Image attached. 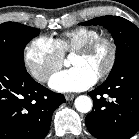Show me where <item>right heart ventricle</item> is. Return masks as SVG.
<instances>
[{
    "mask_svg": "<svg viewBox=\"0 0 139 139\" xmlns=\"http://www.w3.org/2000/svg\"><path fill=\"white\" fill-rule=\"evenodd\" d=\"M101 36V32L94 28L77 27L62 33L54 39L55 44L62 54L74 52L78 47L88 41Z\"/></svg>",
    "mask_w": 139,
    "mask_h": 139,
    "instance_id": "obj_1",
    "label": "right heart ventricle"
}]
</instances>
